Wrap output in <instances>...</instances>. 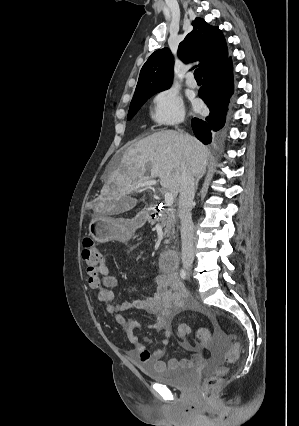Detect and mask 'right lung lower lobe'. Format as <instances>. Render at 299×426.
I'll return each mask as SVG.
<instances>
[{"label": "right lung lower lobe", "mask_w": 299, "mask_h": 426, "mask_svg": "<svg viewBox=\"0 0 299 426\" xmlns=\"http://www.w3.org/2000/svg\"><path fill=\"white\" fill-rule=\"evenodd\" d=\"M203 80L199 97L207 104L210 114L204 120L193 118L191 124L195 136L204 144H210L216 132L225 125L228 103L233 94L231 57L221 66L203 74Z\"/></svg>", "instance_id": "right-lung-lower-lobe-1"}]
</instances>
